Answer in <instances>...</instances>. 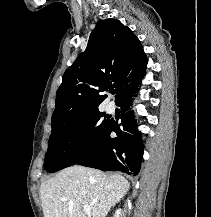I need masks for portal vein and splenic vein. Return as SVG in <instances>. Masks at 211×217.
Listing matches in <instances>:
<instances>
[{"label":"portal vein and splenic vein","instance_id":"1","mask_svg":"<svg viewBox=\"0 0 211 217\" xmlns=\"http://www.w3.org/2000/svg\"><path fill=\"white\" fill-rule=\"evenodd\" d=\"M83 210H84V212L89 213L91 208H90V206H84Z\"/></svg>","mask_w":211,"mask_h":217}]
</instances>
